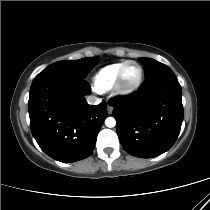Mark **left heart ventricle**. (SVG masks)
<instances>
[{"label": "left heart ventricle", "mask_w": 210, "mask_h": 210, "mask_svg": "<svg viewBox=\"0 0 210 210\" xmlns=\"http://www.w3.org/2000/svg\"><path fill=\"white\" fill-rule=\"evenodd\" d=\"M139 76V68L135 64H129L124 70L123 80L126 84L134 83Z\"/></svg>", "instance_id": "1"}]
</instances>
